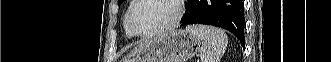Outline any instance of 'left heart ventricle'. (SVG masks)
Segmentation results:
<instances>
[{
    "label": "left heart ventricle",
    "mask_w": 331,
    "mask_h": 62,
    "mask_svg": "<svg viewBox=\"0 0 331 62\" xmlns=\"http://www.w3.org/2000/svg\"><path fill=\"white\" fill-rule=\"evenodd\" d=\"M176 12L172 0H143L133 13V22L140 32H149L168 24Z\"/></svg>",
    "instance_id": "b2bd125f"
}]
</instances>
